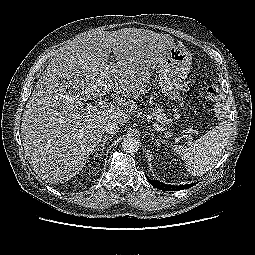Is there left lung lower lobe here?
Returning <instances> with one entry per match:
<instances>
[{
  "label": "left lung lower lobe",
  "instance_id": "left-lung-lower-lobe-1",
  "mask_svg": "<svg viewBox=\"0 0 255 255\" xmlns=\"http://www.w3.org/2000/svg\"><path fill=\"white\" fill-rule=\"evenodd\" d=\"M147 180L155 188L164 190V191H175V190L188 189L196 184V183H194V184H186V185H181V186H174V185H167V184L161 183L158 180H151L148 177H147Z\"/></svg>",
  "mask_w": 255,
  "mask_h": 255
}]
</instances>
